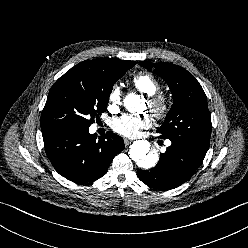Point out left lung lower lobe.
<instances>
[{
	"instance_id": "1",
	"label": "left lung lower lobe",
	"mask_w": 248,
	"mask_h": 248,
	"mask_svg": "<svg viewBox=\"0 0 248 248\" xmlns=\"http://www.w3.org/2000/svg\"><path fill=\"white\" fill-rule=\"evenodd\" d=\"M205 154L172 142L160 154L157 165L150 170H137L138 178L147 186L159 190L176 188L188 181L202 164Z\"/></svg>"
}]
</instances>
